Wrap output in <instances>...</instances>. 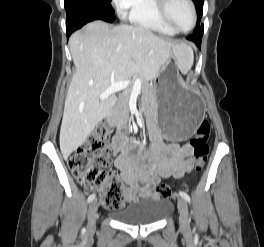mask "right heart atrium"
I'll return each mask as SVG.
<instances>
[{
  "mask_svg": "<svg viewBox=\"0 0 264 247\" xmlns=\"http://www.w3.org/2000/svg\"><path fill=\"white\" fill-rule=\"evenodd\" d=\"M118 14L121 17H126L134 7L136 0H113Z\"/></svg>",
  "mask_w": 264,
  "mask_h": 247,
  "instance_id": "obj_1",
  "label": "right heart atrium"
}]
</instances>
